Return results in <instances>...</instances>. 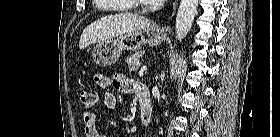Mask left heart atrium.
I'll return each mask as SVG.
<instances>
[{"instance_id": "1", "label": "left heart atrium", "mask_w": 280, "mask_h": 137, "mask_svg": "<svg viewBox=\"0 0 280 137\" xmlns=\"http://www.w3.org/2000/svg\"><path fill=\"white\" fill-rule=\"evenodd\" d=\"M150 2L153 4L162 5L165 3V0H150Z\"/></svg>"}]
</instances>
